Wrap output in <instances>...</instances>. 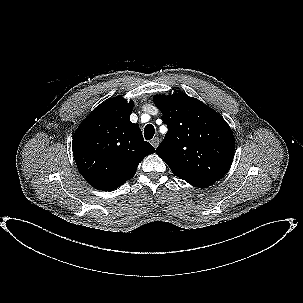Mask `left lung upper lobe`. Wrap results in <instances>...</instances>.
<instances>
[{"instance_id": "left-lung-upper-lobe-1", "label": "left lung upper lobe", "mask_w": 303, "mask_h": 303, "mask_svg": "<svg viewBox=\"0 0 303 303\" xmlns=\"http://www.w3.org/2000/svg\"><path fill=\"white\" fill-rule=\"evenodd\" d=\"M168 132L156 153L187 183L216 182L229 170L235 150L230 126L213 109L184 93L157 95Z\"/></svg>"}]
</instances>
